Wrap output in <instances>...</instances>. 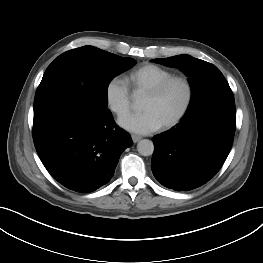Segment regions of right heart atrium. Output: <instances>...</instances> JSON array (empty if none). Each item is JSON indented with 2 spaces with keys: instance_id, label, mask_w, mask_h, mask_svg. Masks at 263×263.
I'll return each instance as SVG.
<instances>
[{
  "instance_id": "obj_1",
  "label": "right heart atrium",
  "mask_w": 263,
  "mask_h": 263,
  "mask_svg": "<svg viewBox=\"0 0 263 263\" xmlns=\"http://www.w3.org/2000/svg\"><path fill=\"white\" fill-rule=\"evenodd\" d=\"M104 98L107 108L117 117L130 109L131 96L126 83L120 77H112L105 85Z\"/></svg>"
}]
</instances>
